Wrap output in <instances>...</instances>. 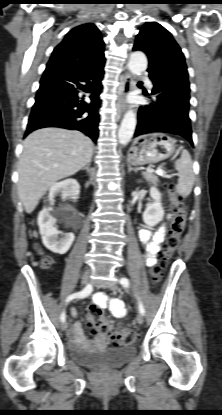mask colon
Here are the masks:
<instances>
[{
  "instance_id": "colon-1",
  "label": "colon",
  "mask_w": 222,
  "mask_h": 415,
  "mask_svg": "<svg viewBox=\"0 0 222 415\" xmlns=\"http://www.w3.org/2000/svg\"><path fill=\"white\" fill-rule=\"evenodd\" d=\"M170 192L174 201V218L171 222L168 237L162 252V256L157 264L152 267V280L158 282L163 269L173 257L178 248L181 236L185 230L187 219V202L184 197L178 195L172 188ZM50 259L41 258V265L47 267L50 265ZM86 318L92 332L107 334L110 338L112 347H118L125 344L135 343L139 339V333L136 330H115L104 318L101 309L96 305H91L86 309Z\"/></svg>"
}]
</instances>
